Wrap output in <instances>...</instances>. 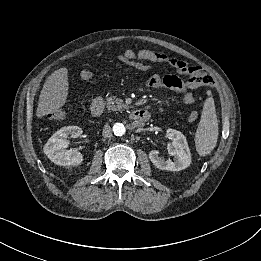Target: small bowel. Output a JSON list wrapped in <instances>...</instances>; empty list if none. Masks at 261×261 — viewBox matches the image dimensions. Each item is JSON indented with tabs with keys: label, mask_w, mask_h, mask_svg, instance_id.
<instances>
[{
	"label": "small bowel",
	"mask_w": 261,
	"mask_h": 261,
	"mask_svg": "<svg viewBox=\"0 0 261 261\" xmlns=\"http://www.w3.org/2000/svg\"><path fill=\"white\" fill-rule=\"evenodd\" d=\"M176 60L177 58L171 57L167 54L153 52L148 49L138 51L127 49L121 57V61L146 70L153 69L159 62L173 65ZM92 75L93 73L91 70L84 69L81 73V78L84 81H88L92 78ZM148 85L152 89L166 88L181 93L183 95L182 105L184 107L190 106L195 102L194 95L188 92V90H194L196 87H193L188 82L183 81L177 75H166L162 77L158 74H152L148 80Z\"/></svg>",
	"instance_id": "obj_1"
}]
</instances>
